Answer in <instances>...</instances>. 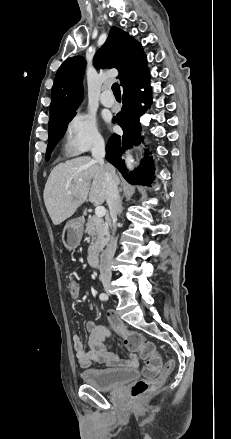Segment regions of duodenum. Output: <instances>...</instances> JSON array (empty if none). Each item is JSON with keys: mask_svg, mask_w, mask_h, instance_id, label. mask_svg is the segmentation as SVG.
Listing matches in <instances>:
<instances>
[{"mask_svg": "<svg viewBox=\"0 0 231 439\" xmlns=\"http://www.w3.org/2000/svg\"><path fill=\"white\" fill-rule=\"evenodd\" d=\"M87 261L91 267L96 268L99 264L98 253L95 249H91L87 255Z\"/></svg>", "mask_w": 231, "mask_h": 439, "instance_id": "obj_1", "label": "duodenum"}]
</instances>
